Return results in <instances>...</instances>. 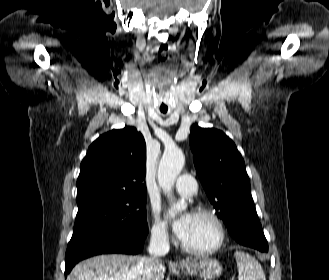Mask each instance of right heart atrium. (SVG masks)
<instances>
[{
  "instance_id": "right-heart-atrium-1",
  "label": "right heart atrium",
  "mask_w": 329,
  "mask_h": 280,
  "mask_svg": "<svg viewBox=\"0 0 329 280\" xmlns=\"http://www.w3.org/2000/svg\"><path fill=\"white\" fill-rule=\"evenodd\" d=\"M151 237L157 243H167L169 241V232L166 224L161 221L157 215H153V223L151 227Z\"/></svg>"
}]
</instances>
